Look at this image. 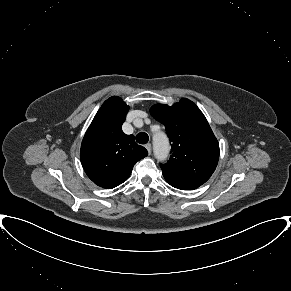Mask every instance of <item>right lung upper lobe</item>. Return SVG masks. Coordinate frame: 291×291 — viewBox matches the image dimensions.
Wrapping results in <instances>:
<instances>
[{"instance_id":"1","label":"right lung upper lobe","mask_w":291,"mask_h":291,"mask_svg":"<svg viewBox=\"0 0 291 291\" xmlns=\"http://www.w3.org/2000/svg\"><path fill=\"white\" fill-rule=\"evenodd\" d=\"M129 106L114 96L104 102L88 128L81 145V162L98 186L114 188L130 176L137 161L148 155L133 135L122 131Z\"/></svg>"}]
</instances>
